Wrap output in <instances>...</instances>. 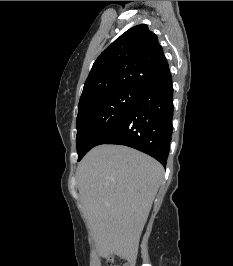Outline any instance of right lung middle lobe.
<instances>
[{"instance_id": "right-lung-middle-lobe-1", "label": "right lung middle lobe", "mask_w": 233, "mask_h": 266, "mask_svg": "<svg viewBox=\"0 0 233 266\" xmlns=\"http://www.w3.org/2000/svg\"><path fill=\"white\" fill-rule=\"evenodd\" d=\"M142 93V90L137 89H121L102 93L79 103L76 120L78 159L97 145L101 137L130 110Z\"/></svg>"}]
</instances>
